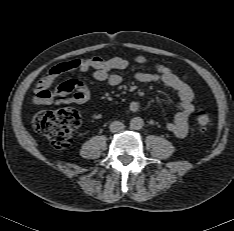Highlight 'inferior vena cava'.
I'll return each instance as SVG.
<instances>
[{"mask_svg": "<svg viewBox=\"0 0 234 231\" xmlns=\"http://www.w3.org/2000/svg\"><path fill=\"white\" fill-rule=\"evenodd\" d=\"M110 131L111 132H119L125 128L124 124L120 121H113L110 124Z\"/></svg>", "mask_w": 234, "mask_h": 231, "instance_id": "602c4592", "label": "inferior vena cava"}]
</instances>
